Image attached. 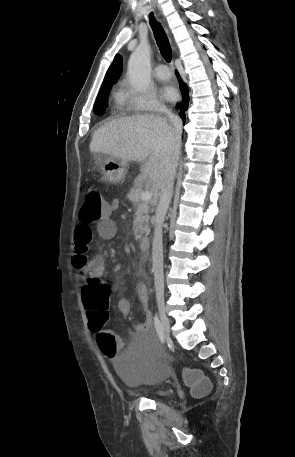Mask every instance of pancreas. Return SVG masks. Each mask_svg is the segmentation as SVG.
Listing matches in <instances>:
<instances>
[{
	"label": "pancreas",
	"instance_id": "1",
	"mask_svg": "<svg viewBox=\"0 0 295 457\" xmlns=\"http://www.w3.org/2000/svg\"><path fill=\"white\" fill-rule=\"evenodd\" d=\"M143 192L142 185H135L131 188L130 192L127 194V198L133 203L134 207H136V217L133 222L134 228V235L136 238L140 239L144 234H148L150 232L149 228V211L150 205L152 202H147L141 200V194Z\"/></svg>",
	"mask_w": 295,
	"mask_h": 457
}]
</instances>
